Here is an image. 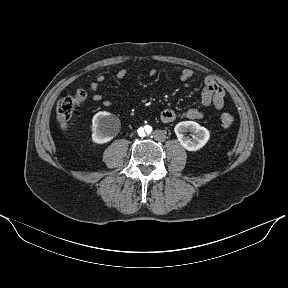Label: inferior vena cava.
<instances>
[{"mask_svg": "<svg viewBox=\"0 0 288 288\" xmlns=\"http://www.w3.org/2000/svg\"><path fill=\"white\" fill-rule=\"evenodd\" d=\"M151 139L157 143H163L167 139V134L163 129H154L151 132Z\"/></svg>", "mask_w": 288, "mask_h": 288, "instance_id": "inferior-vena-cava-1", "label": "inferior vena cava"}]
</instances>
